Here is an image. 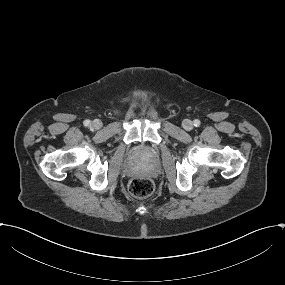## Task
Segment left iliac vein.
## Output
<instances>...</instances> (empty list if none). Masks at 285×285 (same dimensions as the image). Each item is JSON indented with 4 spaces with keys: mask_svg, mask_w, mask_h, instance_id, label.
Returning a JSON list of instances; mask_svg holds the SVG:
<instances>
[{
    "mask_svg": "<svg viewBox=\"0 0 285 285\" xmlns=\"http://www.w3.org/2000/svg\"><path fill=\"white\" fill-rule=\"evenodd\" d=\"M182 125L185 130H192L193 128V122L189 119H184Z\"/></svg>",
    "mask_w": 285,
    "mask_h": 285,
    "instance_id": "obj_1",
    "label": "left iliac vein"
}]
</instances>
